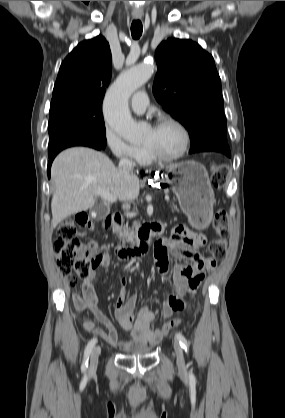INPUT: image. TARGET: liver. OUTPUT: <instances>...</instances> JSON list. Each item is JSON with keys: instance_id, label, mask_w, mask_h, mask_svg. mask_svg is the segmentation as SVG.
<instances>
[{"instance_id": "1", "label": "liver", "mask_w": 285, "mask_h": 418, "mask_svg": "<svg viewBox=\"0 0 285 418\" xmlns=\"http://www.w3.org/2000/svg\"><path fill=\"white\" fill-rule=\"evenodd\" d=\"M51 179L55 184L51 201L53 228L67 217L93 207L97 190L108 191L120 200L136 199L140 192L136 176L125 174L105 154L85 147L59 153L51 167Z\"/></svg>"}]
</instances>
